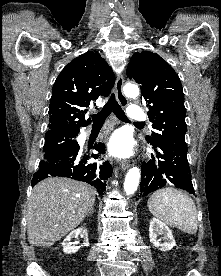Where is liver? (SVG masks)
I'll return each mask as SVG.
<instances>
[{"instance_id":"liver-1","label":"liver","mask_w":221,"mask_h":276,"mask_svg":"<svg viewBox=\"0 0 221 276\" xmlns=\"http://www.w3.org/2000/svg\"><path fill=\"white\" fill-rule=\"evenodd\" d=\"M90 185L67 178H47L27 202V236L32 246H50L75 229L95 202Z\"/></svg>"}]
</instances>
